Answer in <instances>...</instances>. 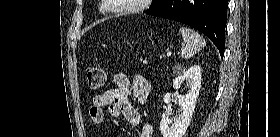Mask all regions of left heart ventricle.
<instances>
[{"instance_id": "1", "label": "left heart ventricle", "mask_w": 280, "mask_h": 137, "mask_svg": "<svg viewBox=\"0 0 280 137\" xmlns=\"http://www.w3.org/2000/svg\"><path fill=\"white\" fill-rule=\"evenodd\" d=\"M116 6H129L135 3V0H113Z\"/></svg>"}]
</instances>
